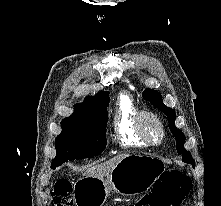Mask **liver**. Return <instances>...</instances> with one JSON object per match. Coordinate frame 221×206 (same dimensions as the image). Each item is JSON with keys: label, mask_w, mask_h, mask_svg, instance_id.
Masks as SVG:
<instances>
[{"label": "liver", "mask_w": 221, "mask_h": 206, "mask_svg": "<svg viewBox=\"0 0 221 206\" xmlns=\"http://www.w3.org/2000/svg\"><path fill=\"white\" fill-rule=\"evenodd\" d=\"M127 156L128 155L126 154L117 155L116 157H113L112 159L104 163L95 165L93 167H89L85 171L84 176H90V177L102 179L108 176L111 173V171L115 168V166Z\"/></svg>", "instance_id": "6515ba94"}]
</instances>
